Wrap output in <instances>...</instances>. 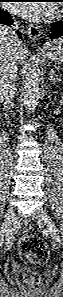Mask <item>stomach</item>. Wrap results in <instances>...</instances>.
Segmentation results:
<instances>
[{
	"mask_svg": "<svg viewBox=\"0 0 63 297\" xmlns=\"http://www.w3.org/2000/svg\"><path fill=\"white\" fill-rule=\"evenodd\" d=\"M48 58L57 63H63V40L56 41L48 51Z\"/></svg>",
	"mask_w": 63,
	"mask_h": 297,
	"instance_id": "0dacf381",
	"label": "stomach"
}]
</instances>
